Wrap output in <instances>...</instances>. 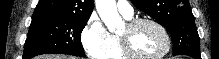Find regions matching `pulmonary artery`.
<instances>
[{
  "instance_id": "e3ab8cb5",
  "label": "pulmonary artery",
  "mask_w": 219,
  "mask_h": 59,
  "mask_svg": "<svg viewBox=\"0 0 219 59\" xmlns=\"http://www.w3.org/2000/svg\"><path fill=\"white\" fill-rule=\"evenodd\" d=\"M118 11L127 19L132 18L134 10L132 5L128 1H118L116 2Z\"/></svg>"
}]
</instances>
